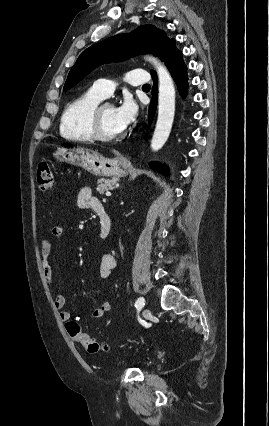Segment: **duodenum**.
Listing matches in <instances>:
<instances>
[{
    "mask_svg": "<svg viewBox=\"0 0 269 426\" xmlns=\"http://www.w3.org/2000/svg\"><path fill=\"white\" fill-rule=\"evenodd\" d=\"M96 213L100 221V233H99L100 238L105 239L112 232V228H113L112 218L108 214V212L104 209L103 206L97 208Z\"/></svg>",
    "mask_w": 269,
    "mask_h": 426,
    "instance_id": "410a0bca",
    "label": "duodenum"
}]
</instances>
